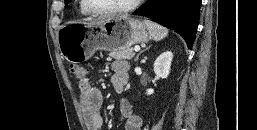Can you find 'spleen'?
Segmentation results:
<instances>
[{
  "label": "spleen",
  "mask_w": 257,
  "mask_h": 130,
  "mask_svg": "<svg viewBox=\"0 0 257 130\" xmlns=\"http://www.w3.org/2000/svg\"><path fill=\"white\" fill-rule=\"evenodd\" d=\"M144 24L155 41H160L168 35V30L155 22L145 19Z\"/></svg>",
  "instance_id": "obj_1"
}]
</instances>
